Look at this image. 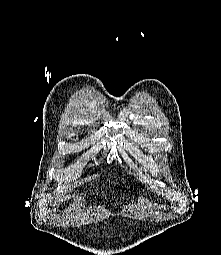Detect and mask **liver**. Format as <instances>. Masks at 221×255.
Segmentation results:
<instances>
[{
  "label": "liver",
  "mask_w": 221,
  "mask_h": 255,
  "mask_svg": "<svg viewBox=\"0 0 221 255\" xmlns=\"http://www.w3.org/2000/svg\"><path fill=\"white\" fill-rule=\"evenodd\" d=\"M67 199V197H65V198H60L59 200H55L54 201V204H53V207H58L59 206V203H60V201H63V200H66Z\"/></svg>",
  "instance_id": "1"
}]
</instances>
